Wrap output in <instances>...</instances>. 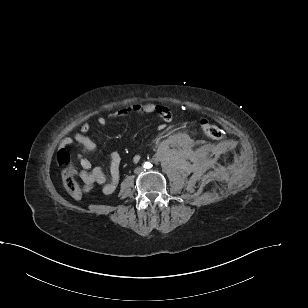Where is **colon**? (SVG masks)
Masks as SVG:
<instances>
[{"mask_svg": "<svg viewBox=\"0 0 308 308\" xmlns=\"http://www.w3.org/2000/svg\"><path fill=\"white\" fill-rule=\"evenodd\" d=\"M202 132L213 140L223 138L222 131L210 121L202 119L200 121ZM58 162L62 166V179L65 189L75 198L80 199L83 195V189L77 180V170L72 163L70 152L67 148L62 147L57 154Z\"/></svg>", "mask_w": 308, "mask_h": 308, "instance_id": "1", "label": "colon"}]
</instances>
